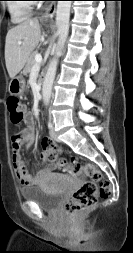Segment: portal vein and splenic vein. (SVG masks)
I'll list each match as a JSON object with an SVG mask.
<instances>
[{
	"label": "portal vein and splenic vein",
	"instance_id": "18ae733b",
	"mask_svg": "<svg viewBox=\"0 0 133 253\" xmlns=\"http://www.w3.org/2000/svg\"><path fill=\"white\" fill-rule=\"evenodd\" d=\"M19 44H21V42H19ZM35 61H36V63L33 66V68H38L40 66V64L42 63V56H41V54H36Z\"/></svg>",
	"mask_w": 133,
	"mask_h": 253
}]
</instances>
